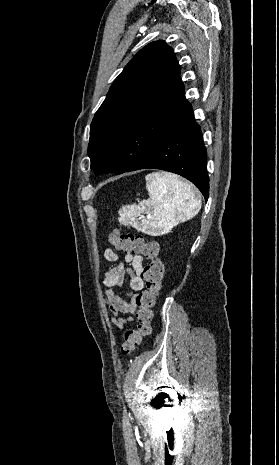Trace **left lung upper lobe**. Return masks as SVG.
<instances>
[{
	"instance_id": "left-lung-upper-lobe-1",
	"label": "left lung upper lobe",
	"mask_w": 279,
	"mask_h": 465,
	"mask_svg": "<svg viewBox=\"0 0 279 465\" xmlns=\"http://www.w3.org/2000/svg\"><path fill=\"white\" fill-rule=\"evenodd\" d=\"M189 103L180 65L164 41L142 48L112 84L90 126L96 175L129 172L178 122Z\"/></svg>"
}]
</instances>
